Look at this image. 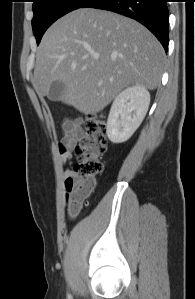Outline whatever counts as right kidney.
I'll return each instance as SVG.
<instances>
[{"mask_svg": "<svg viewBox=\"0 0 195 299\" xmlns=\"http://www.w3.org/2000/svg\"><path fill=\"white\" fill-rule=\"evenodd\" d=\"M150 104V93L134 85L119 93L110 109L106 134L112 143L127 141L143 121Z\"/></svg>", "mask_w": 195, "mask_h": 299, "instance_id": "1", "label": "right kidney"}]
</instances>
